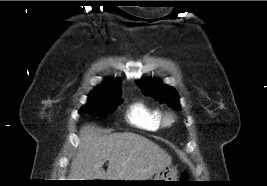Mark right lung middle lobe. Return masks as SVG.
Segmentation results:
<instances>
[{
    "mask_svg": "<svg viewBox=\"0 0 267 186\" xmlns=\"http://www.w3.org/2000/svg\"><path fill=\"white\" fill-rule=\"evenodd\" d=\"M120 102V92L111 94L91 93L88 103L82 107L80 113H87L94 117H102L112 112Z\"/></svg>",
    "mask_w": 267,
    "mask_h": 186,
    "instance_id": "dd1d6c3e",
    "label": "right lung middle lobe"
}]
</instances>
